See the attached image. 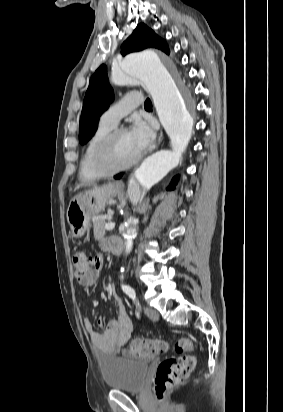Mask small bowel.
Listing matches in <instances>:
<instances>
[{"mask_svg":"<svg viewBox=\"0 0 283 412\" xmlns=\"http://www.w3.org/2000/svg\"><path fill=\"white\" fill-rule=\"evenodd\" d=\"M115 238H106L102 240L101 247L103 250H110ZM101 262L89 273L86 280L81 281L84 286L94 285L99 277V271L102 268V257L97 255ZM112 297L117 306V316L110 320L104 328V331L95 332L92 324L87 317H82V326L88 333L95 353L100 357H110L122 354L126 357H132L131 353L125 349V345L133 330V324L123 306L121 300L112 290ZM98 326H104L103 319L97 320Z\"/></svg>","mask_w":283,"mask_h":412,"instance_id":"small-bowel-1","label":"small bowel"}]
</instances>
